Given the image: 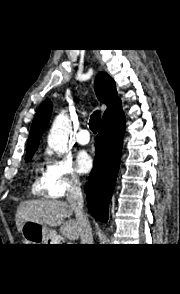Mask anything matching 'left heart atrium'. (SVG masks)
I'll list each match as a JSON object with an SVG mask.
<instances>
[{"label":"left heart atrium","mask_w":180,"mask_h":294,"mask_svg":"<svg viewBox=\"0 0 180 294\" xmlns=\"http://www.w3.org/2000/svg\"><path fill=\"white\" fill-rule=\"evenodd\" d=\"M93 166V160L86 151H80L76 156V170L80 174L88 173Z\"/></svg>","instance_id":"39dd6f15"}]
</instances>
